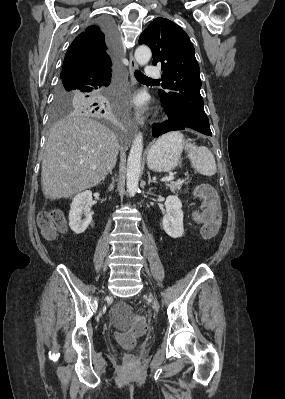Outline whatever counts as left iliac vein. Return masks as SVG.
<instances>
[{"label":"left iliac vein","mask_w":285,"mask_h":399,"mask_svg":"<svg viewBox=\"0 0 285 399\" xmlns=\"http://www.w3.org/2000/svg\"><path fill=\"white\" fill-rule=\"evenodd\" d=\"M151 297L153 298V296L151 295ZM153 302H154V304L157 306L158 305V303H157V301L153 298Z\"/></svg>","instance_id":"1"}]
</instances>
